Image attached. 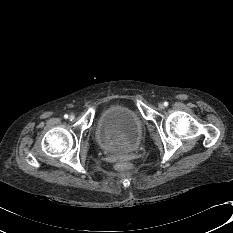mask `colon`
Wrapping results in <instances>:
<instances>
[{"instance_id": "5ec220e1", "label": "colon", "mask_w": 233, "mask_h": 233, "mask_svg": "<svg viewBox=\"0 0 233 233\" xmlns=\"http://www.w3.org/2000/svg\"><path fill=\"white\" fill-rule=\"evenodd\" d=\"M117 169L118 170H125L126 169V164L125 163H119L117 165Z\"/></svg>"}]
</instances>
